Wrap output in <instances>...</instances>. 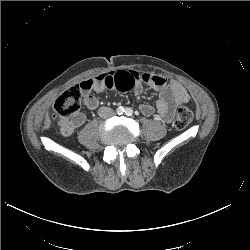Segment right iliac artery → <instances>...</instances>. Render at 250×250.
<instances>
[{
	"label": "right iliac artery",
	"mask_w": 250,
	"mask_h": 250,
	"mask_svg": "<svg viewBox=\"0 0 250 250\" xmlns=\"http://www.w3.org/2000/svg\"><path fill=\"white\" fill-rule=\"evenodd\" d=\"M116 112H117L118 115H122L123 112H124V108H123L122 106H120V107H118V108L116 109Z\"/></svg>",
	"instance_id": "right-iliac-artery-1"
}]
</instances>
